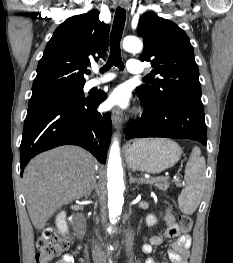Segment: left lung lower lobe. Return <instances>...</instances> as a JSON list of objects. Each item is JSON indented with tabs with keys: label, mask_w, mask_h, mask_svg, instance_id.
Masks as SVG:
<instances>
[{
	"label": "left lung lower lobe",
	"mask_w": 233,
	"mask_h": 263,
	"mask_svg": "<svg viewBox=\"0 0 233 263\" xmlns=\"http://www.w3.org/2000/svg\"><path fill=\"white\" fill-rule=\"evenodd\" d=\"M140 100L145 111L141 118L128 124L125 132L127 139L165 137L191 139L207 145L201 100L179 98L159 108H150L141 97Z\"/></svg>",
	"instance_id": "0a47b994"
}]
</instances>
